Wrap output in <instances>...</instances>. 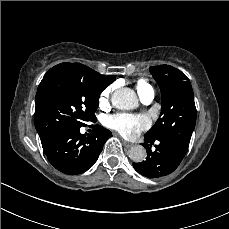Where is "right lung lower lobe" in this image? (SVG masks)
Returning a JSON list of instances; mask_svg holds the SVG:
<instances>
[{"label":"right lung lower lobe","instance_id":"obj_1","mask_svg":"<svg viewBox=\"0 0 229 229\" xmlns=\"http://www.w3.org/2000/svg\"><path fill=\"white\" fill-rule=\"evenodd\" d=\"M112 133L95 125L91 134L80 133V127L62 129L42 145L49 162L60 172L77 175L88 170L98 159L104 143Z\"/></svg>","mask_w":229,"mask_h":229}]
</instances>
